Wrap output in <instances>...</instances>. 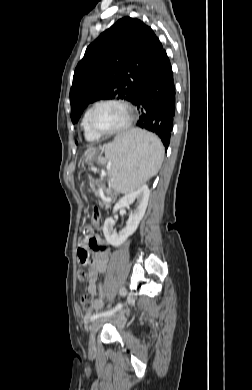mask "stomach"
<instances>
[{"instance_id": "0dacf381", "label": "stomach", "mask_w": 252, "mask_h": 390, "mask_svg": "<svg viewBox=\"0 0 252 390\" xmlns=\"http://www.w3.org/2000/svg\"><path fill=\"white\" fill-rule=\"evenodd\" d=\"M94 155H95V152L88 154L87 159L91 160L94 157Z\"/></svg>"}]
</instances>
